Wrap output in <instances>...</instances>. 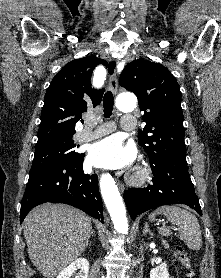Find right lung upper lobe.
Wrapping results in <instances>:
<instances>
[{
  "instance_id": "cb5924a9",
  "label": "right lung upper lobe",
  "mask_w": 221,
  "mask_h": 278,
  "mask_svg": "<svg viewBox=\"0 0 221 278\" xmlns=\"http://www.w3.org/2000/svg\"><path fill=\"white\" fill-rule=\"evenodd\" d=\"M99 64L106 62L96 56L75 59L53 78L44 98L38 142L72 136L81 114L100 104L104 89L91 87L92 72Z\"/></svg>"
}]
</instances>
